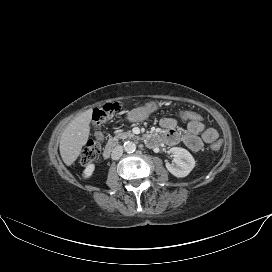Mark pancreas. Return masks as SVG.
<instances>
[{
  "label": "pancreas",
  "mask_w": 272,
  "mask_h": 272,
  "mask_svg": "<svg viewBox=\"0 0 272 272\" xmlns=\"http://www.w3.org/2000/svg\"><path fill=\"white\" fill-rule=\"evenodd\" d=\"M131 138L134 137V134H132L130 131L123 132L122 130L115 131V137L111 138L112 141H118L119 139H125V138Z\"/></svg>",
  "instance_id": "pancreas-1"
}]
</instances>
